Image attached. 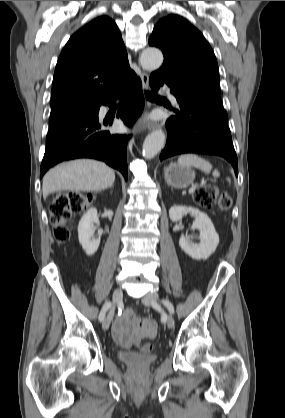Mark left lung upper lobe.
Returning <instances> with one entry per match:
<instances>
[{"label":"left lung upper lobe","mask_w":285,"mask_h":418,"mask_svg":"<svg viewBox=\"0 0 285 418\" xmlns=\"http://www.w3.org/2000/svg\"><path fill=\"white\" fill-rule=\"evenodd\" d=\"M149 45L161 49V77L177 94L223 107L214 52L201 32L179 15H168L154 27Z\"/></svg>","instance_id":"obj_1"}]
</instances>
